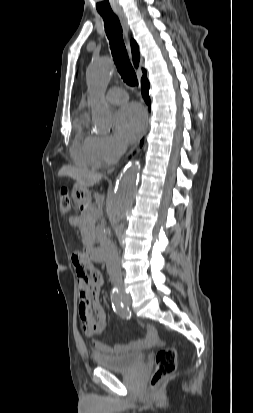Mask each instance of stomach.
Wrapping results in <instances>:
<instances>
[{
    "label": "stomach",
    "instance_id": "stomach-1",
    "mask_svg": "<svg viewBox=\"0 0 253 413\" xmlns=\"http://www.w3.org/2000/svg\"><path fill=\"white\" fill-rule=\"evenodd\" d=\"M72 198L79 206L83 207L90 202L91 194L88 189L75 184L72 189Z\"/></svg>",
    "mask_w": 253,
    "mask_h": 413
}]
</instances>
